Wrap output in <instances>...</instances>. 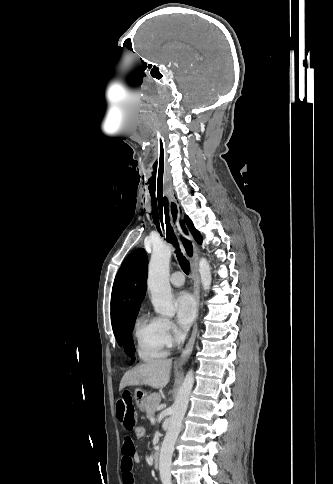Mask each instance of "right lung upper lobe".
I'll use <instances>...</instances> for the list:
<instances>
[{
	"label": "right lung upper lobe",
	"instance_id": "cb5924a9",
	"mask_svg": "<svg viewBox=\"0 0 333 484\" xmlns=\"http://www.w3.org/2000/svg\"><path fill=\"white\" fill-rule=\"evenodd\" d=\"M184 231V224L181 222ZM148 258L143 248L133 251L119 269L112 289L111 321L113 329L130 314L138 312L146 293Z\"/></svg>",
	"mask_w": 333,
	"mask_h": 484
}]
</instances>
